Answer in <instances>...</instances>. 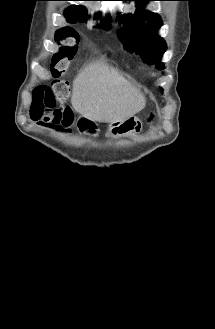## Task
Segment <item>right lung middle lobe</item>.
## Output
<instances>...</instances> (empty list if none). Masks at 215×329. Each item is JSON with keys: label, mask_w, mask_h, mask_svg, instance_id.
<instances>
[{"label": "right lung middle lobe", "mask_w": 215, "mask_h": 329, "mask_svg": "<svg viewBox=\"0 0 215 329\" xmlns=\"http://www.w3.org/2000/svg\"><path fill=\"white\" fill-rule=\"evenodd\" d=\"M68 21H69V20H68ZM74 21L84 22L81 18H75L74 20L69 21V22H74ZM70 32H71L70 29L62 30V31L58 32L56 38H59V37H60V33L68 34V33H70Z\"/></svg>", "instance_id": "dd1d6c3e"}]
</instances>
